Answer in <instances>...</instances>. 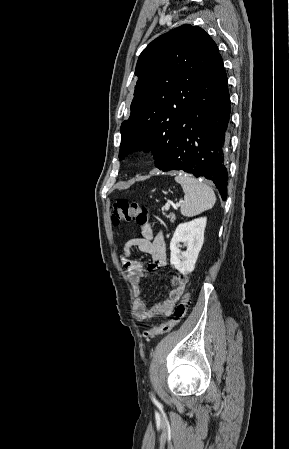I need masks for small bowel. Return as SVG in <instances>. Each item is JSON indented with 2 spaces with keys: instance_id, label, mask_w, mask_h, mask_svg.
<instances>
[{
  "instance_id": "c3829d8e",
  "label": "small bowel",
  "mask_w": 289,
  "mask_h": 449,
  "mask_svg": "<svg viewBox=\"0 0 289 449\" xmlns=\"http://www.w3.org/2000/svg\"><path fill=\"white\" fill-rule=\"evenodd\" d=\"M140 226L141 237L128 238L124 243L122 264L130 283L138 294L134 303L136 319L145 321L159 315H170L186 287L188 278L180 273L174 275L171 278L172 290L169 291L167 298L151 307H147L144 298L141 296L140 283L143 278L149 275L151 270L167 266V247L162 234L154 235L149 222L141 223ZM134 248L149 254L152 258V263L144 267L140 261L133 260L131 255Z\"/></svg>"
}]
</instances>
